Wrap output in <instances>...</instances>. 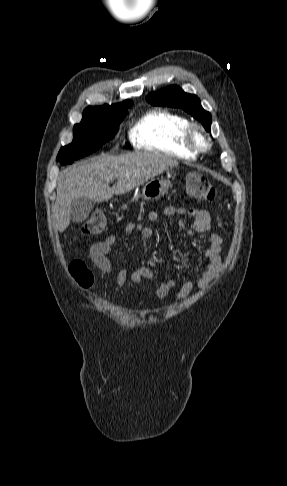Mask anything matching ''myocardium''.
Instances as JSON below:
<instances>
[{
    "label": "myocardium",
    "instance_id": "f54148a6",
    "mask_svg": "<svg viewBox=\"0 0 287 486\" xmlns=\"http://www.w3.org/2000/svg\"><path fill=\"white\" fill-rule=\"evenodd\" d=\"M184 139L187 146L195 153L208 151L212 142L201 125L189 123L184 132Z\"/></svg>",
    "mask_w": 287,
    "mask_h": 486
}]
</instances>
